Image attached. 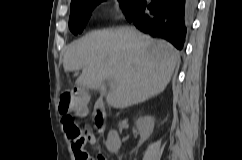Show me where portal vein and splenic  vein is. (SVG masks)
Wrapping results in <instances>:
<instances>
[{
    "instance_id": "obj_1",
    "label": "portal vein and splenic vein",
    "mask_w": 242,
    "mask_h": 160,
    "mask_svg": "<svg viewBox=\"0 0 242 160\" xmlns=\"http://www.w3.org/2000/svg\"><path fill=\"white\" fill-rule=\"evenodd\" d=\"M110 86H114L115 82L112 78H108Z\"/></svg>"
}]
</instances>
